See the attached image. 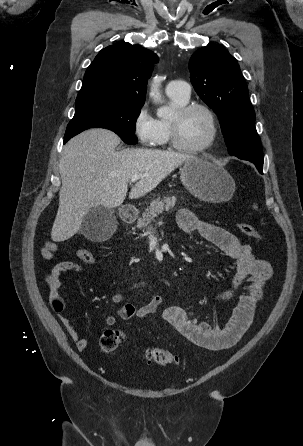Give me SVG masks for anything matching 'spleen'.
Wrapping results in <instances>:
<instances>
[{"label":"spleen","mask_w":303,"mask_h":446,"mask_svg":"<svg viewBox=\"0 0 303 446\" xmlns=\"http://www.w3.org/2000/svg\"><path fill=\"white\" fill-rule=\"evenodd\" d=\"M254 208L256 209V208H257V206H256V205H254Z\"/></svg>","instance_id":"3e777b00"}]
</instances>
